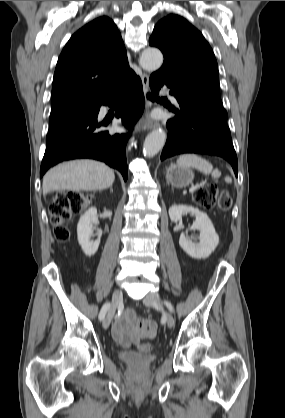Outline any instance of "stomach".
Segmentation results:
<instances>
[{"label":"stomach","instance_id":"1","mask_svg":"<svg viewBox=\"0 0 285 418\" xmlns=\"http://www.w3.org/2000/svg\"><path fill=\"white\" fill-rule=\"evenodd\" d=\"M167 182L177 188H183L192 183L194 179V172L191 168L181 167L177 164H171L166 168Z\"/></svg>","mask_w":285,"mask_h":418}]
</instances>
